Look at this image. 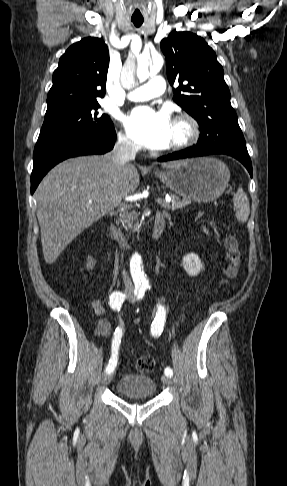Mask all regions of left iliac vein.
<instances>
[{
  "instance_id": "left-iliac-vein-1",
  "label": "left iliac vein",
  "mask_w": 287,
  "mask_h": 486,
  "mask_svg": "<svg viewBox=\"0 0 287 486\" xmlns=\"http://www.w3.org/2000/svg\"><path fill=\"white\" fill-rule=\"evenodd\" d=\"M161 380H162L163 384H165V385L171 384V378L167 375H163L161 377Z\"/></svg>"
}]
</instances>
